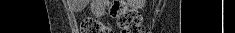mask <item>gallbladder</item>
Returning a JSON list of instances; mask_svg holds the SVG:
<instances>
[{
	"label": "gallbladder",
	"mask_w": 235,
	"mask_h": 33,
	"mask_svg": "<svg viewBox=\"0 0 235 33\" xmlns=\"http://www.w3.org/2000/svg\"><path fill=\"white\" fill-rule=\"evenodd\" d=\"M88 0H84V2H87ZM82 7H85V4H82Z\"/></svg>",
	"instance_id": "gallbladder-1"
}]
</instances>
